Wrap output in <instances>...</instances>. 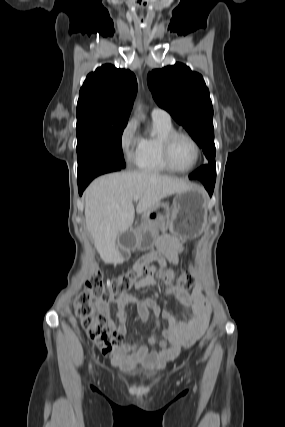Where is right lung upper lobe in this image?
<instances>
[{"label":"right lung upper lobe","instance_id":"cb5924a9","mask_svg":"<svg viewBox=\"0 0 285 427\" xmlns=\"http://www.w3.org/2000/svg\"><path fill=\"white\" fill-rule=\"evenodd\" d=\"M137 93L135 75L111 64L88 74L80 89L77 120H128Z\"/></svg>","mask_w":285,"mask_h":427}]
</instances>
